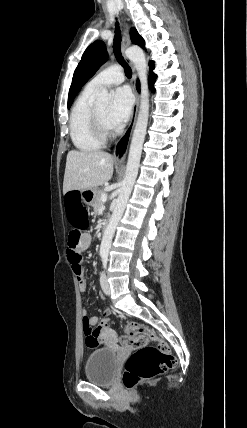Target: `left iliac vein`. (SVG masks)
<instances>
[{"instance_id": "1", "label": "left iliac vein", "mask_w": 247, "mask_h": 428, "mask_svg": "<svg viewBox=\"0 0 247 428\" xmlns=\"http://www.w3.org/2000/svg\"><path fill=\"white\" fill-rule=\"evenodd\" d=\"M100 284H101V288H102L103 292H104L106 295H110V293H111V289H110V285H109V283H108V280H107V277H106V274H105V273H102V274H101V277H100Z\"/></svg>"}]
</instances>
